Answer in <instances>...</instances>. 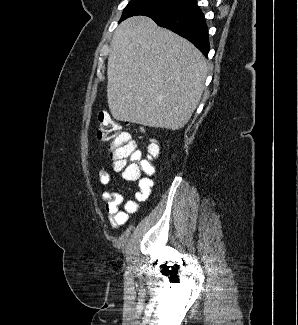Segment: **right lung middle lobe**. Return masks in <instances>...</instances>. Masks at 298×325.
Returning a JSON list of instances; mask_svg holds the SVG:
<instances>
[{"label": "right lung middle lobe", "instance_id": "right-lung-middle-lobe-1", "mask_svg": "<svg viewBox=\"0 0 298 325\" xmlns=\"http://www.w3.org/2000/svg\"><path fill=\"white\" fill-rule=\"evenodd\" d=\"M194 0H131L124 8L120 21L134 16L145 15L155 17L177 11Z\"/></svg>", "mask_w": 298, "mask_h": 325}]
</instances>
